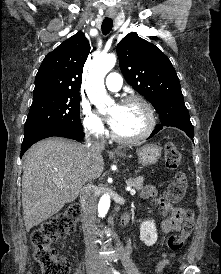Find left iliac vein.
Instances as JSON below:
<instances>
[{"label":"left iliac vein","mask_w":221,"mask_h":274,"mask_svg":"<svg viewBox=\"0 0 221 274\" xmlns=\"http://www.w3.org/2000/svg\"><path fill=\"white\" fill-rule=\"evenodd\" d=\"M97 274H112L111 269L105 265L104 263H100L98 265V273Z\"/></svg>","instance_id":"obj_1"}]
</instances>
